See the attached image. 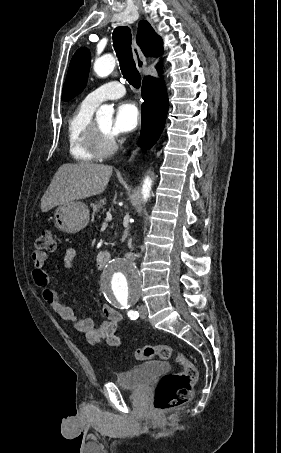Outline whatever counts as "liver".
<instances>
[{
	"label": "liver",
	"instance_id": "6515ba94",
	"mask_svg": "<svg viewBox=\"0 0 281 453\" xmlns=\"http://www.w3.org/2000/svg\"><path fill=\"white\" fill-rule=\"evenodd\" d=\"M113 166L94 162L61 164L41 198V210L47 212L57 204L82 200L104 192Z\"/></svg>",
	"mask_w": 281,
	"mask_h": 453
}]
</instances>
